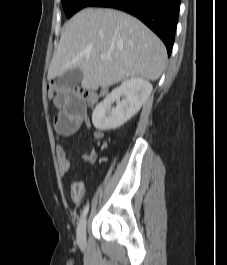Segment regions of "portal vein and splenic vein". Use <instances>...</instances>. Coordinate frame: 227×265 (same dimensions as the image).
<instances>
[{
	"label": "portal vein and splenic vein",
	"mask_w": 227,
	"mask_h": 265,
	"mask_svg": "<svg viewBox=\"0 0 227 265\" xmlns=\"http://www.w3.org/2000/svg\"><path fill=\"white\" fill-rule=\"evenodd\" d=\"M110 57L109 53H101L100 55V59L105 60L108 59Z\"/></svg>",
	"instance_id": "portal-vein-and-splenic-vein-1"
}]
</instances>
